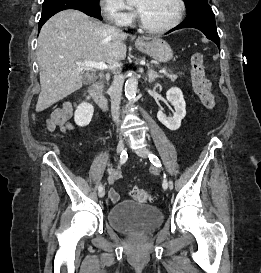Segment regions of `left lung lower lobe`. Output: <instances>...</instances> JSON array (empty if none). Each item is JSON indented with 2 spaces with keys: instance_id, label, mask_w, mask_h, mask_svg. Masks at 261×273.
<instances>
[{
  "instance_id": "1",
  "label": "left lung lower lobe",
  "mask_w": 261,
  "mask_h": 273,
  "mask_svg": "<svg viewBox=\"0 0 261 273\" xmlns=\"http://www.w3.org/2000/svg\"><path fill=\"white\" fill-rule=\"evenodd\" d=\"M187 27L199 29L208 39L212 40L220 47L215 16L209 4H202L194 7L187 13L185 20L171 31Z\"/></svg>"
}]
</instances>
